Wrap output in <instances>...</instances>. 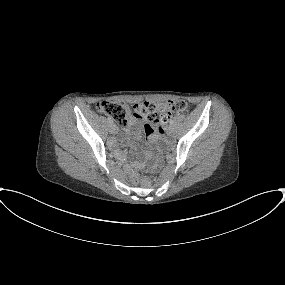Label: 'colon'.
Returning <instances> with one entry per match:
<instances>
[{
    "label": "colon",
    "mask_w": 285,
    "mask_h": 285,
    "mask_svg": "<svg viewBox=\"0 0 285 285\" xmlns=\"http://www.w3.org/2000/svg\"><path fill=\"white\" fill-rule=\"evenodd\" d=\"M96 108L98 111L110 117L112 121L126 126L129 124L131 113L150 121H167L171 117L177 116L185 111L187 103L183 100L166 101L161 104L142 102L136 104L131 112V109L126 104L102 101L96 104Z\"/></svg>",
    "instance_id": "5ec220e1"
}]
</instances>
